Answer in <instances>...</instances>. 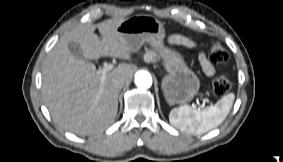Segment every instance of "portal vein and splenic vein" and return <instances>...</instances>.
Here are the masks:
<instances>
[{"label":"portal vein and splenic vein","instance_id":"18ae733b","mask_svg":"<svg viewBox=\"0 0 283 162\" xmlns=\"http://www.w3.org/2000/svg\"><path fill=\"white\" fill-rule=\"evenodd\" d=\"M112 69H113V64L107 63V64H105V66L101 70L98 71L99 74H101V76H102V80H104L107 72L111 71ZM204 102L209 103V101L206 100V99H204Z\"/></svg>","mask_w":283,"mask_h":162}]
</instances>
